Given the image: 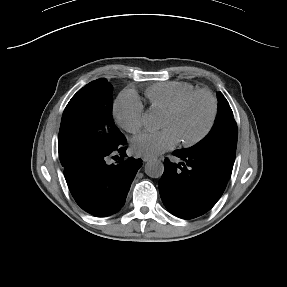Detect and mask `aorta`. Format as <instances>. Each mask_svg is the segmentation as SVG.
<instances>
[{
	"label": "aorta",
	"mask_w": 287,
	"mask_h": 287,
	"mask_svg": "<svg viewBox=\"0 0 287 287\" xmlns=\"http://www.w3.org/2000/svg\"><path fill=\"white\" fill-rule=\"evenodd\" d=\"M164 172V165L160 160H151L145 164V173L151 178H160Z\"/></svg>",
	"instance_id": "1"
}]
</instances>
